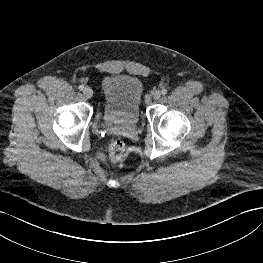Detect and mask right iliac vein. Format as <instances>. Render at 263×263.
Wrapping results in <instances>:
<instances>
[{
	"instance_id": "right-iliac-vein-1",
	"label": "right iliac vein",
	"mask_w": 263,
	"mask_h": 263,
	"mask_svg": "<svg viewBox=\"0 0 263 263\" xmlns=\"http://www.w3.org/2000/svg\"><path fill=\"white\" fill-rule=\"evenodd\" d=\"M83 94L86 98H92L93 90L90 87H85L83 90Z\"/></svg>"
}]
</instances>
